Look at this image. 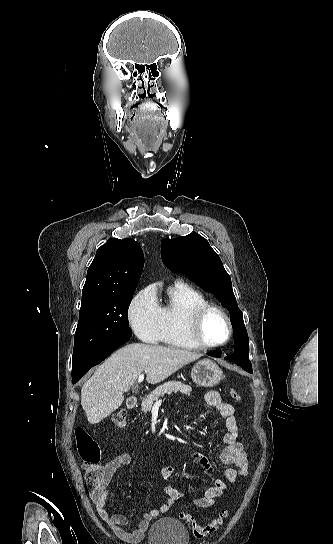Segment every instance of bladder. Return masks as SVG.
<instances>
[{
  "mask_svg": "<svg viewBox=\"0 0 333 544\" xmlns=\"http://www.w3.org/2000/svg\"><path fill=\"white\" fill-rule=\"evenodd\" d=\"M148 544H189V533L179 520L164 517L157 520L150 528Z\"/></svg>",
  "mask_w": 333,
  "mask_h": 544,
  "instance_id": "bladder-1",
  "label": "bladder"
}]
</instances>
